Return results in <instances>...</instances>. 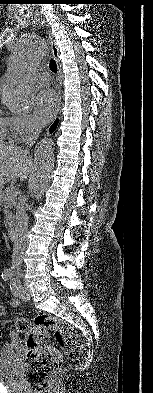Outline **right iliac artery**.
<instances>
[{
  "label": "right iliac artery",
  "instance_id": "1",
  "mask_svg": "<svg viewBox=\"0 0 153 393\" xmlns=\"http://www.w3.org/2000/svg\"><path fill=\"white\" fill-rule=\"evenodd\" d=\"M2 279H4L5 281L6 280H9V279H11V277H12V273L9 271V270H4L3 272H2Z\"/></svg>",
  "mask_w": 153,
  "mask_h": 393
}]
</instances>
